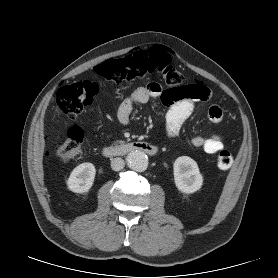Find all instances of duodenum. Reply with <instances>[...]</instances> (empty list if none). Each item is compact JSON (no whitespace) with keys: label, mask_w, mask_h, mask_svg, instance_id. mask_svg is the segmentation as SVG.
<instances>
[{"label":"duodenum","mask_w":278,"mask_h":278,"mask_svg":"<svg viewBox=\"0 0 278 278\" xmlns=\"http://www.w3.org/2000/svg\"><path fill=\"white\" fill-rule=\"evenodd\" d=\"M132 152H143L153 156L157 153V147L147 142H130L126 144L105 147L102 151V154L105 157H116Z\"/></svg>","instance_id":"1"}]
</instances>
